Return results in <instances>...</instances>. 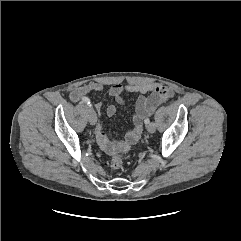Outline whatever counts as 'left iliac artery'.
I'll return each instance as SVG.
<instances>
[{
    "mask_svg": "<svg viewBox=\"0 0 241 241\" xmlns=\"http://www.w3.org/2000/svg\"><path fill=\"white\" fill-rule=\"evenodd\" d=\"M145 124H149L150 123V120L149 119H145Z\"/></svg>",
    "mask_w": 241,
    "mask_h": 241,
    "instance_id": "obj_1",
    "label": "left iliac artery"
}]
</instances>
